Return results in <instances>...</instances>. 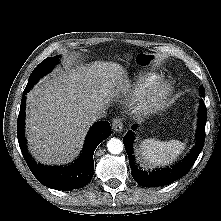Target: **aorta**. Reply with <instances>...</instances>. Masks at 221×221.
Here are the masks:
<instances>
[{
    "instance_id": "aorta-1",
    "label": "aorta",
    "mask_w": 221,
    "mask_h": 221,
    "mask_svg": "<svg viewBox=\"0 0 221 221\" xmlns=\"http://www.w3.org/2000/svg\"><path fill=\"white\" fill-rule=\"evenodd\" d=\"M108 151L112 154H119L123 151V143L120 139L111 138L107 142Z\"/></svg>"
}]
</instances>
